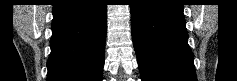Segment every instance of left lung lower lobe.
<instances>
[{"label":"left lung lower lobe","mask_w":237,"mask_h":81,"mask_svg":"<svg viewBox=\"0 0 237 81\" xmlns=\"http://www.w3.org/2000/svg\"><path fill=\"white\" fill-rule=\"evenodd\" d=\"M132 39L142 81H197L180 0H135Z\"/></svg>","instance_id":"left-lung-lower-lobe-1"}]
</instances>
